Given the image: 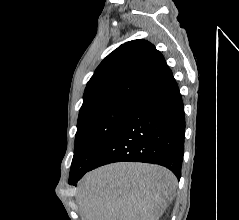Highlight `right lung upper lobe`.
<instances>
[{
  "label": "right lung upper lobe",
  "instance_id": "cb5924a9",
  "mask_svg": "<svg viewBox=\"0 0 239 220\" xmlns=\"http://www.w3.org/2000/svg\"><path fill=\"white\" fill-rule=\"evenodd\" d=\"M171 75L164 57L150 42H126L95 70L87 83L78 119L110 107L132 104Z\"/></svg>",
  "mask_w": 239,
  "mask_h": 220
}]
</instances>
